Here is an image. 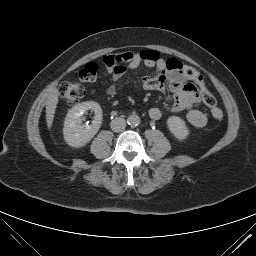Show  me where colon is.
<instances>
[{
	"mask_svg": "<svg viewBox=\"0 0 256 256\" xmlns=\"http://www.w3.org/2000/svg\"><path fill=\"white\" fill-rule=\"evenodd\" d=\"M144 57L156 60L159 58V54L156 51L147 50L144 52ZM122 62L121 57L118 54L106 55L103 58V63L107 70H114ZM184 75L195 85L196 89L201 95L203 103L210 107L211 115L218 121H221L224 117L223 111L216 107L215 96L207 89L202 75L191 66L184 65L182 67ZM98 74V65L95 62H89L79 72V78L83 82H92L96 79ZM61 98L67 104H75L84 98L86 91L82 84L74 81H64L58 88Z\"/></svg>",
	"mask_w": 256,
	"mask_h": 256,
	"instance_id": "5ec220e1",
	"label": "colon"
}]
</instances>
